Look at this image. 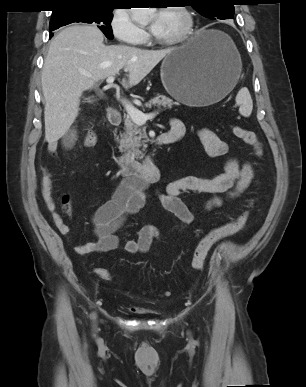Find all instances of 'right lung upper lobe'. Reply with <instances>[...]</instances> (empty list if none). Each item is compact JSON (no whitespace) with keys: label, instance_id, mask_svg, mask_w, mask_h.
<instances>
[{"label":"right lung upper lobe","instance_id":"cb5924a9","mask_svg":"<svg viewBox=\"0 0 306 387\" xmlns=\"http://www.w3.org/2000/svg\"><path fill=\"white\" fill-rule=\"evenodd\" d=\"M115 0H56V9L52 13H57L65 8L77 6H104L112 7Z\"/></svg>","mask_w":306,"mask_h":387}]
</instances>
